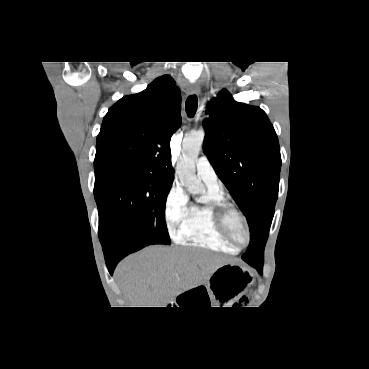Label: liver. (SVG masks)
I'll list each match as a JSON object with an SVG mask.
<instances>
[{
	"instance_id": "obj_1",
	"label": "liver",
	"mask_w": 369,
	"mask_h": 369,
	"mask_svg": "<svg viewBox=\"0 0 369 369\" xmlns=\"http://www.w3.org/2000/svg\"><path fill=\"white\" fill-rule=\"evenodd\" d=\"M226 258L198 248L150 246L117 269L131 307H167L179 294L208 281Z\"/></svg>"
}]
</instances>
